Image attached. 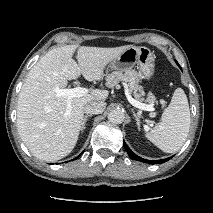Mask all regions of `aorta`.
<instances>
[{
    "instance_id": "1",
    "label": "aorta",
    "mask_w": 213,
    "mask_h": 213,
    "mask_svg": "<svg viewBox=\"0 0 213 213\" xmlns=\"http://www.w3.org/2000/svg\"><path fill=\"white\" fill-rule=\"evenodd\" d=\"M125 114L120 109L111 110L108 114V120L114 124H121L124 121Z\"/></svg>"
}]
</instances>
